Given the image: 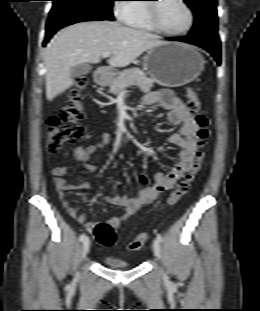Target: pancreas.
Returning <instances> with one entry per match:
<instances>
[{"label":"pancreas","instance_id":"obj_1","mask_svg":"<svg viewBox=\"0 0 260 311\" xmlns=\"http://www.w3.org/2000/svg\"><path fill=\"white\" fill-rule=\"evenodd\" d=\"M135 83L142 92H149L153 87V80L145 77L138 68H130L122 71L111 81L110 93L117 94L129 84Z\"/></svg>","mask_w":260,"mask_h":311}]
</instances>
